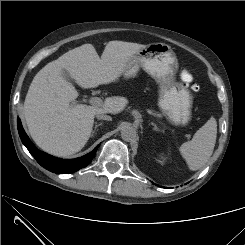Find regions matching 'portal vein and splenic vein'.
Returning <instances> with one entry per match:
<instances>
[{
  "instance_id": "portal-vein-and-splenic-vein-1",
  "label": "portal vein and splenic vein",
  "mask_w": 245,
  "mask_h": 245,
  "mask_svg": "<svg viewBox=\"0 0 245 245\" xmlns=\"http://www.w3.org/2000/svg\"><path fill=\"white\" fill-rule=\"evenodd\" d=\"M89 103L95 106H103L104 104L103 100L99 97H91Z\"/></svg>"
}]
</instances>
